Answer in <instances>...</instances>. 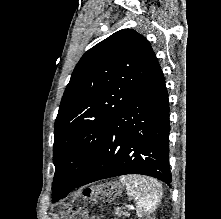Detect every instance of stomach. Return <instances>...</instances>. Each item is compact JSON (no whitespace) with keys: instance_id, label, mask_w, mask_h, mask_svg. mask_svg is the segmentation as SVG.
Returning a JSON list of instances; mask_svg holds the SVG:
<instances>
[{"instance_id":"stomach-1","label":"stomach","mask_w":221,"mask_h":219,"mask_svg":"<svg viewBox=\"0 0 221 219\" xmlns=\"http://www.w3.org/2000/svg\"><path fill=\"white\" fill-rule=\"evenodd\" d=\"M114 189H115V193H120L121 190H120V187L117 185V184H114Z\"/></svg>"}]
</instances>
